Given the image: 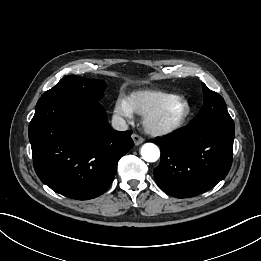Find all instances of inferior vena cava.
<instances>
[{
    "instance_id": "obj_1",
    "label": "inferior vena cava",
    "mask_w": 261,
    "mask_h": 261,
    "mask_svg": "<svg viewBox=\"0 0 261 261\" xmlns=\"http://www.w3.org/2000/svg\"><path fill=\"white\" fill-rule=\"evenodd\" d=\"M112 127L117 131H125L128 129L126 121L117 115L112 117Z\"/></svg>"
}]
</instances>
